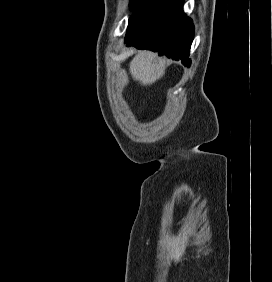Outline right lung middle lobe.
<instances>
[{"label":"right lung middle lobe","instance_id":"1","mask_svg":"<svg viewBox=\"0 0 272 282\" xmlns=\"http://www.w3.org/2000/svg\"><path fill=\"white\" fill-rule=\"evenodd\" d=\"M142 0H131L130 1V7L131 9H135L140 3H141Z\"/></svg>","mask_w":272,"mask_h":282}]
</instances>
